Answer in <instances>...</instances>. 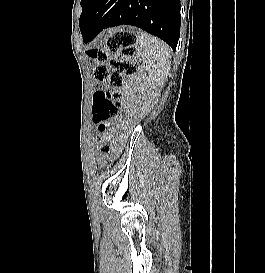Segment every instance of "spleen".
<instances>
[{"mask_svg": "<svg viewBox=\"0 0 265 273\" xmlns=\"http://www.w3.org/2000/svg\"><path fill=\"white\" fill-rule=\"evenodd\" d=\"M137 39L149 79L155 85L162 86L170 70L171 51L169 46L146 32L139 33Z\"/></svg>", "mask_w": 265, "mask_h": 273, "instance_id": "1", "label": "spleen"}]
</instances>
